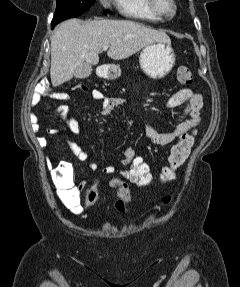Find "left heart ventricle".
<instances>
[{
	"mask_svg": "<svg viewBox=\"0 0 240 287\" xmlns=\"http://www.w3.org/2000/svg\"><path fill=\"white\" fill-rule=\"evenodd\" d=\"M161 6L164 10L170 11L172 9V5L169 0H161Z\"/></svg>",
	"mask_w": 240,
	"mask_h": 287,
	"instance_id": "b2bd125f",
	"label": "left heart ventricle"
}]
</instances>
